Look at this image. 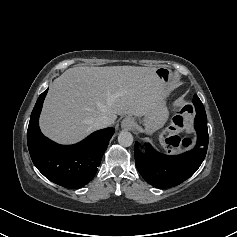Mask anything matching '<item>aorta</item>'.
<instances>
[{
	"label": "aorta",
	"instance_id": "obj_1",
	"mask_svg": "<svg viewBox=\"0 0 237 237\" xmlns=\"http://www.w3.org/2000/svg\"><path fill=\"white\" fill-rule=\"evenodd\" d=\"M118 142L123 147H129L133 143V136L128 131H121L118 135Z\"/></svg>",
	"mask_w": 237,
	"mask_h": 237
}]
</instances>
